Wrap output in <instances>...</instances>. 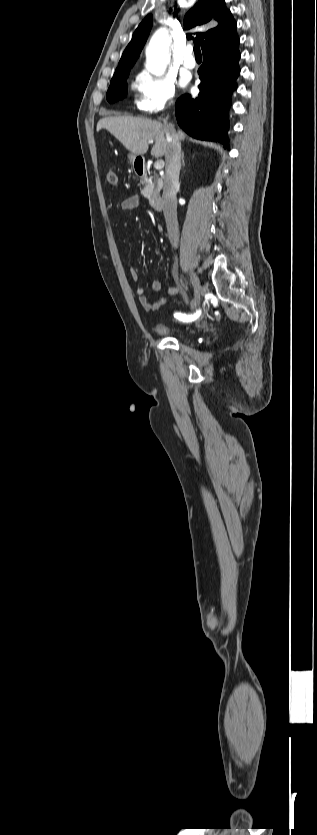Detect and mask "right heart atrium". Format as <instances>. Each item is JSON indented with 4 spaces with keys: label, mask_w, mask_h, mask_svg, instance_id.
<instances>
[{
    "label": "right heart atrium",
    "mask_w": 317,
    "mask_h": 835,
    "mask_svg": "<svg viewBox=\"0 0 317 835\" xmlns=\"http://www.w3.org/2000/svg\"><path fill=\"white\" fill-rule=\"evenodd\" d=\"M134 87L138 93L137 108L143 113H158L175 101L176 81L170 75H155L143 70L136 75Z\"/></svg>",
    "instance_id": "1"
}]
</instances>
